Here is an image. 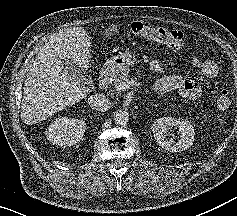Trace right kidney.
<instances>
[{"instance_id": "ca27d5eb", "label": "right kidney", "mask_w": 237, "mask_h": 216, "mask_svg": "<svg viewBox=\"0 0 237 216\" xmlns=\"http://www.w3.org/2000/svg\"><path fill=\"white\" fill-rule=\"evenodd\" d=\"M63 127H65V126H63V124H61L60 126H56V127H50V129L48 130V133H51L52 131H53V128H55V130H57V132H55V133H53L54 134V136L52 137V139L51 140H57L58 141V139H57V137H58V134H59V131L63 128ZM79 137L81 138L82 137V134H79ZM50 139V138H49Z\"/></svg>"}]
</instances>
